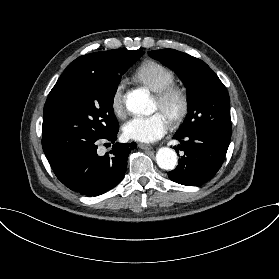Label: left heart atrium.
I'll list each match as a JSON object with an SVG mask.
<instances>
[{
	"label": "left heart atrium",
	"instance_id": "1",
	"mask_svg": "<svg viewBox=\"0 0 279 279\" xmlns=\"http://www.w3.org/2000/svg\"><path fill=\"white\" fill-rule=\"evenodd\" d=\"M168 129V121L161 111L151 116L134 117L122 127L125 138L142 143H153L161 139Z\"/></svg>",
	"mask_w": 279,
	"mask_h": 279
}]
</instances>
